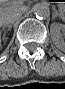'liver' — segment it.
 <instances>
[{
	"label": "liver",
	"mask_w": 65,
	"mask_h": 89,
	"mask_svg": "<svg viewBox=\"0 0 65 89\" xmlns=\"http://www.w3.org/2000/svg\"><path fill=\"white\" fill-rule=\"evenodd\" d=\"M25 10V7L22 6V4H16L15 6H13V9L10 10H5L3 7H1L0 9V18L3 16L5 19L13 16L14 14L17 13H22V11ZM1 26H4L1 24Z\"/></svg>",
	"instance_id": "6515ba94"
}]
</instances>
